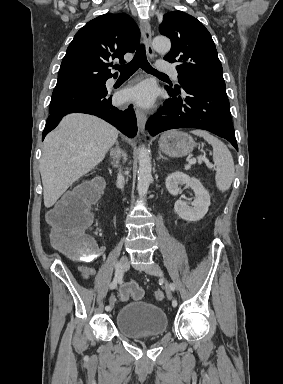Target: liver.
Returning <instances> with one entry per match:
<instances>
[{
	"instance_id": "6515ba94",
	"label": "liver",
	"mask_w": 283,
	"mask_h": 384,
	"mask_svg": "<svg viewBox=\"0 0 283 384\" xmlns=\"http://www.w3.org/2000/svg\"><path fill=\"white\" fill-rule=\"evenodd\" d=\"M118 130L86 114H69L46 136L39 170L45 208H51L79 178L94 170L117 142Z\"/></svg>"
}]
</instances>
